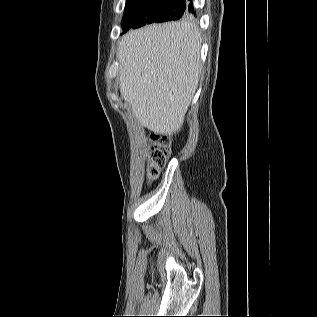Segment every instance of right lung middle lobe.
Wrapping results in <instances>:
<instances>
[{
  "mask_svg": "<svg viewBox=\"0 0 317 317\" xmlns=\"http://www.w3.org/2000/svg\"><path fill=\"white\" fill-rule=\"evenodd\" d=\"M190 18L179 0H127L122 19L123 33L153 22Z\"/></svg>",
  "mask_w": 317,
  "mask_h": 317,
  "instance_id": "obj_1",
  "label": "right lung middle lobe"
}]
</instances>
